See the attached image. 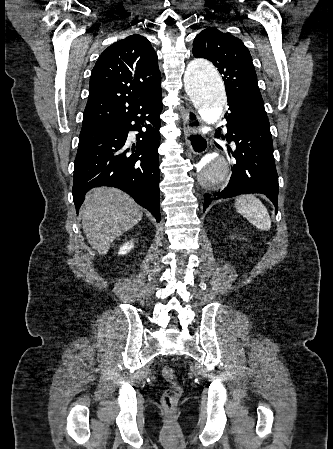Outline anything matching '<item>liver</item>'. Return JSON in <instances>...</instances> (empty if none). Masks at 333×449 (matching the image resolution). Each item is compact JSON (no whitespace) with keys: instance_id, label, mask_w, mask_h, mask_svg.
<instances>
[{"instance_id":"6515ba94","label":"liver","mask_w":333,"mask_h":449,"mask_svg":"<svg viewBox=\"0 0 333 449\" xmlns=\"http://www.w3.org/2000/svg\"><path fill=\"white\" fill-rule=\"evenodd\" d=\"M136 202L113 187L91 190L80 209L83 231L88 243L104 255L111 243L142 220Z\"/></svg>"}]
</instances>
